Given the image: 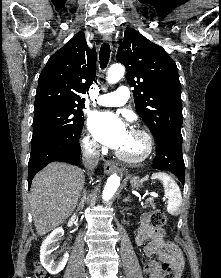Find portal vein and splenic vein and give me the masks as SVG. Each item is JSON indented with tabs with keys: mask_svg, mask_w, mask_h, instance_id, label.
Listing matches in <instances>:
<instances>
[{
	"mask_svg": "<svg viewBox=\"0 0 221 278\" xmlns=\"http://www.w3.org/2000/svg\"><path fill=\"white\" fill-rule=\"evenodd\" d=\"M150 195L153 197H158V195L156 193H151Z\"/></svg>",
	"mask_w": 221,
	"mask_h": 278,
	"instance_id": "18ae733b",
	"label": "portal vein and splenic vein"
}]
</instances>
